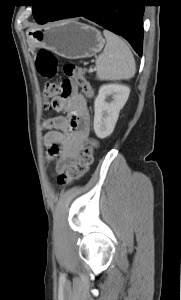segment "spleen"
<instances>
[{"label": "spleen", "mask_w": 181, "mask_h": 300, "mask_svg": "<svg viewBox=\"0 0 181 300\" xmlns=\"http://www.w3.org/2000/svg\"><path fill=\"white\" fill-rule=\"evenodd\" d=\"M103 34L107 43L96 59L97 79L103 81L132 78L136 65L129 46L111 31L104 30Z\"/></svg>", "instance_id": "3e777b00"}]
</instances>
